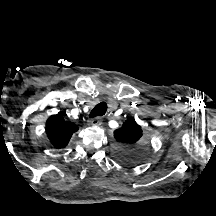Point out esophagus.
<instances>
[{
	"label": "esophagus",
	"mask_w": 216,
	"mask_h": 216,
	"mask_svg": "<svg viewBox=\"0 0 216 216\" xmlns=\"http://www.w3.org/2000/svg\"><path fill=\"white\" fill-rule=\"evenodd\" d=\"M102 121L101 117L93 118L88 121V125L99 126L102 124Z\"/></svg>",
	"instance_id": "esophagus-1"
}]
</instances>
